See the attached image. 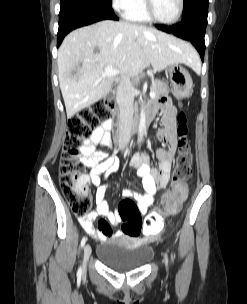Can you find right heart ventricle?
<instances>
[{"label":"right heart ventricle","instance_id":"obj_1","mask_svg":"<svg viewBox=\"0 0 247 304\" xmlns=\"http://www.w3.org/2000/svg\"><path fill=\"white\" fill-rule=\"evenodd\" d=\"M126 19L133 22L147 23L150 21L146 14L144 7V0H137V2L125 12Z\"/></svg>","mask_w":247,"mask_h":304}]
</instances>
